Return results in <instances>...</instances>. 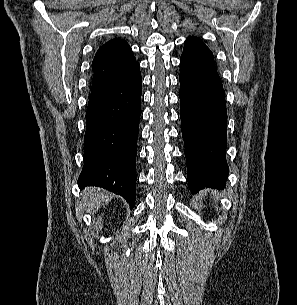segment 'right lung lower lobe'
I'll use <instances>...</instances> for the list:
<instances>
[{"mask_svg": "<svg viewBox=\"0 0 297 305\" xmlns=\"http://www.w3.org/2000/svg\"><path fill=\"white\" fill-rule=\"evenodd\" d=\"M142 79L138 62L120 75L93 85L86 112L84 166L79 186L120 194L131 207L136 195V143Z\"/></svg>", "mask_w": 297, "mask_h": 305, "instance_id": "obj_1", "label": "right lung lower lobe"}]
</instances>
